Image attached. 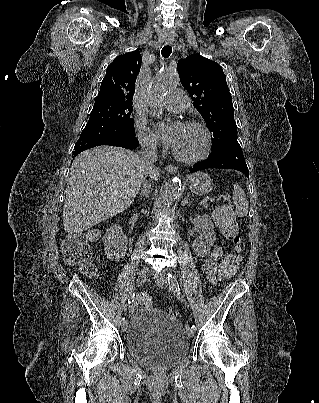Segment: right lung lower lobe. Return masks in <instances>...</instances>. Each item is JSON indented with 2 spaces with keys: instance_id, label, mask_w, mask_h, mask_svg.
<instances>
[{
  "instance_id": "right-lung-lower-lobe-1",
  "label": "right lung lower lobe",
  "mask_w": 319,
  "mask_h": 403,
  "mask_svg": "<svg viewBox=\"0 0 319 403\" xmlns=\"http://www.w3.org/2000/svg\"><path fill=\"white\" fill-rule=\"evenodd\" d=\"M135 132L120 125H98L85 127L75 144L73 155L99 145L120 146L127 149L138 147Z\"/></svg>"
}]
</instances>
